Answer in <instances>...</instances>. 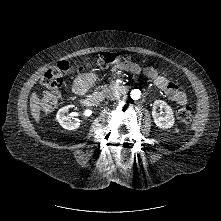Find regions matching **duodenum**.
Listing matches in <instances>:
<instances>
[{
    "mask_svg": "<svg viewBox=\"0 0 221 221\" xmlns=\"http://www.w3.org/2000/svg\"><path fill=\"white\" fill-rule=\"evenodd\" d=\"M112 89L113 88H108L94 95H87V94L80 95L82 97V103L86 106H92V105L98 104L103 99L105 94L108 93Z\"/></svg>",
    "mask_w": 221,
    "mask_h": 221,
    "instance_id": "obj_1",
    "label": "duodenum"
}]
</instances>
